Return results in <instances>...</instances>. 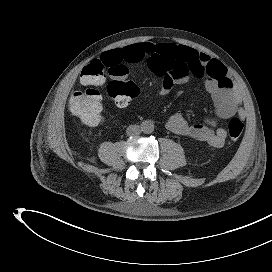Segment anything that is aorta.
<instances>
[{"instance_id":"762f6f07","label":"aorta","mask_w":272,"mask_h":272,"mask_svg":"<svg viewBox=\"0 0 272 272\" xmlns=\"http://www.w3.org/2000/svg\"><path fill=\"white\" fill-rule=\"evenodd\" d=\"M141 129L145 134H150L154 131V123L151 120L143 121L141 124Z\"/></svg>"}]
</instances>
